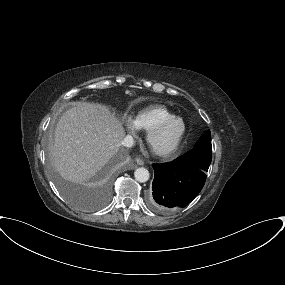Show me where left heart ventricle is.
Wrapping results in <instances>:
<instances>
[{"label":"left heart ventricle","mask_w":285,"mask_h":285,"mask_svg":"<svg viewBox=\"0 0 285 285\" xmlns=\"http://www.w3.org/2000/svg\"><path fill=\"white\" fill-rule=\"evenodd\" d=\"M182 129V124L179 121H175L168 125L161 133H159L153 141L155 147H165L172 143L179 132Z\"/></svg>","instance_id":"obj_1"}]
</instances>
